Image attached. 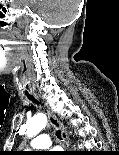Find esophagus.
<instances>
[{
  "instance_id": "34e87169",
  "label": "esophagus",
  "mask_w": 119,
  "mask_h": 155,
  "mask_svg": "<svg viewBox=\"0 0 119 155\" xmlns=\"http://www.w3.org/2000/svg\"><path fill=\"white\" fill-rule=\"evenodd\" d=\"M34 96H35V98L38 101L41 100V96L39 94H34ZM45 110L47 112L49 123L54 128H56L57 130H59L61 132L63 147H64L65 150H67L68 147H69V137H68V134H67L66 129L64 128L63 124L57 119V117L50 111V108L49 107H45Z\"/></svg>"
}]
</instances>
